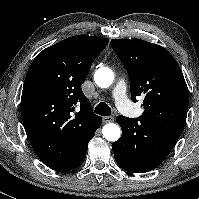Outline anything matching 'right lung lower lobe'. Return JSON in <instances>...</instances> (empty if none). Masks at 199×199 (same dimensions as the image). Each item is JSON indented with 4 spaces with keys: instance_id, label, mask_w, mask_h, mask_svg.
<instances>
[{
    "instance_id": "obj_1",
    "label": "right lung lower lobe",
    "mask_w": 199,
    "mask_h": 199,
    "mask_svg": "<svg viewBox=\"0 0 199 199\" xmlns=\"http://www.w3.org/2000/svg\"><path fill=\"white\" fill-rule=\"evenodd\" d=\"M101 122L100 118L90 130L79 133L66 141L64 154L60 158H51L47 153H42L46 150L43 144L37 145L34 151L42 162L53 170L64 172L76 169L84 162L88 143L94 137L95 131L101 126Z\"/></svg>"
}]
</instances>
